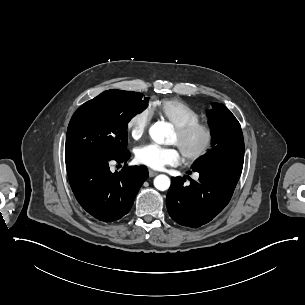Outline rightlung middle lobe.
<instances>
[{
    "label": "right lung middle lobe",
    "instance_id": "right-lung-middle-lobe-1",
    "mask_svg": "<svg viewBox=\"0 0 305 305\" xmlns=\"http://www.w3.org/2000/svg\"><path fill=\"white\" fill-rule=\"evenodd\" d=\"M139 92L107 90L73 114L67 129L65 156L111 158L127 149L128 122L148 106Z\"/></svg>",
    "mask_w": 305,
    "mask_h": 305
}]
</instances>
